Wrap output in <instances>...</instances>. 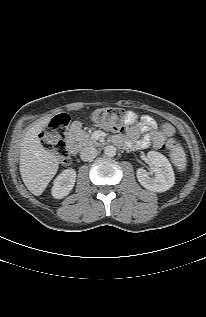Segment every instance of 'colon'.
I'll list each match as a JSON object with an SVG mask.
<instances>
[{
    "label": "colon",
    "mask_w": 206,
    "mask_h": 317,
    "mask_svg": "<svg viewBox=\"0 0 206 317\" xmlns=\"http://www.w3.org/2000/svg\"><path fill=\"white\" fill-rule=\"evenodd\" d=\"M125 119V111L117 107L100 108L92 114V120L96 124L113 131L121 130L125 124ZM68 123L69 117L66 114H60L51 121L48 128L40 136L44 147L53 151L62 165H68L71 161L70 152L63 139V132ZM175 146V140L168 138L163 141L160 148L174 149Z\"/></svg>",
    "instance_id": "5ec220e1"
}]
</instances>
